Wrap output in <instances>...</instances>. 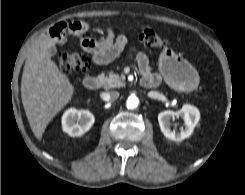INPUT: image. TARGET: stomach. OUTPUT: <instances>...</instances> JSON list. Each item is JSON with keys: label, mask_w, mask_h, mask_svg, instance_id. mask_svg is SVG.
I'll return each mask as SVG.
<instances>
[{"label": "stomach", "mask_w": 245, "mask_h": 195, "mask_svg": "<svg viewBox=\"0 0 245 195\" xmlns=\"http://www.w3.org/2000/svg\"><path fill=\"white\" fill-rule=\"evenodd\" d=\"M159 67L166 82L175 90L190 92L197 88L199 83L197 72L172 50L166 48L162 51Z\"/></svg>", "instance_id": "stomach-1"}]
</instances>
